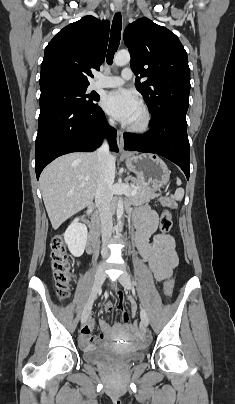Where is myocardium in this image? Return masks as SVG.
<instances>
[{
  "label": "myocardium",
  "mask_w": 235,
  "mask_h": 404,
  "mask_svg": "<svg viewBox=\"0 0 235 404\" xmlns=\"http://www.w3.org/2000/svg\"><path fill=\"white\" fill-rule=\"evenodd\" d=\"M141 116L135 123L127 125V129L133 133H145L151 126L152 116L149 109L145 105L140 107Z\"/></svg>",
  "instance_id": "f54148a6"
}]
</instances>
